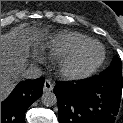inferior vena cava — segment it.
<instances>
[{"mask_svg": "<svg viewBox=\"0 0 123 123\" xmlns=\"http://www.w3.org/2000/svg\"><path fill=\"white\" fill-rule=\"evenodd\" d=\"M41 75L42 71L38 66H29L22 73V77L26 79H37L41 77Z\"/></svg>", "mask_w": 123, "mask_h": 123, "instance_id": "1", "label": "inferior vena cava"}]
</instances>
